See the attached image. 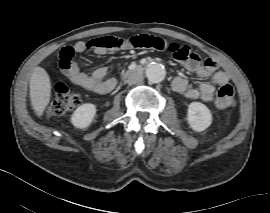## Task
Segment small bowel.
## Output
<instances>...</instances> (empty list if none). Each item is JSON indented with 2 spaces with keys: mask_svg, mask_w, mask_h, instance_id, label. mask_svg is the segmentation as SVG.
<instances>
[{
  "mask_svg": "<svg viewBox=\"0 0 270 213\" xmlns=\"http://www.w3.org/2000/svg\"><path fill=\"white\" fill-rule=\"evenodd\" d=\"M126 41L127 39L100 36L86 42L79 41L74 45L63 47L59 52L60 61L68 60L71 63L70 69H63L64 75L72 82L96 94L111 92L115 88L117 81L115 78H106V68L99 67L88 75L81 71L78 63L73 60V56L81 54L87 49H93L98 56L116 54L130 48ZM166 45L169 50L173 51L176 44L168 42ZM190 53L188 50L186 58L181 62L182 65L199 79L205 80L209 78L210 80L202 82L197 87H193L186 78L178 76L173 80L172 87L176 92L188 98H201L209 101L214 97L218 87L230 82V76L226 71L218 69L215 60L209 59L205 63L200 64L192 59Z\"/></svg>",
  "mask_w": 270,
  "mask_h": 213,
  "instance_id": "1",
  "label": "small bowel"
}]
</instances>
